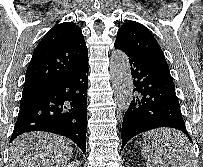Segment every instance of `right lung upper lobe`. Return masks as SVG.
Returning a JSON list of instances; mask_svg holds the SVG:
<instances>
[{
    "mask_svg": "<svg viewBox=\"0 0 203 167\" xmlns=\"http://www.w3.org/2000/svg\"><path fill=\"white\" fill-rule=\"evenodd\" d=\"M88 59L78 25L63 22L51 28L39 42L26 70L22 97L43 94Z\"/></svg>",
    "mask_w": 203,
    "mask_h": 167,
    "instance_id": "cb5924a9",
    "label": "right lung upper lobe"
}]
</instances>
